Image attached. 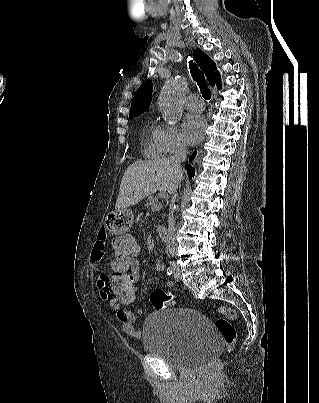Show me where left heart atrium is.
<instances>
[{"label": "left heart atrium", "mask_w": 319, "mask_h": 403, "mask_svg": "<svg viewBox=\"0 0 319 403\" xmlns=\"http://www.w3.org/2000/svg\"><path fill=\"white\" fill-rule=\"evenodd\" d=\"M183 135L187 143L195 144L199 142L205 132V119L199 114H188L182 123Z\"/></svg>", "instance_id": "obj_1"}]
</instances>
